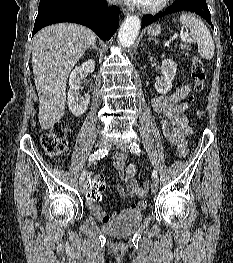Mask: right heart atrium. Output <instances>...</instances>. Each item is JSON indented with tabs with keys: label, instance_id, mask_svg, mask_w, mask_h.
<instances>
[{
	"label": "right heart atrium",
	"instance_id": "obj_1",
	"mask_svg": "<svg viewBox=\"0 0 233 263\" xmlns=\"http://www.w3.org/2000/svg\"><path fill=\"white\" fill-rule=\"evenodd\" d=\"M108 1L114 4L118 2V0H108Z\"/></svg>",
	"mask_w": 233,
	"mask_h": 263
}]
</instances>
